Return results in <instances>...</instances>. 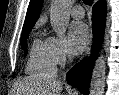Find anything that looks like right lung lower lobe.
I'll use <instances>...</instances> for the list:
<instances>
[{"label": "right lung lower lobe", "instance_id": "right-lung-lower-lobe-1", "mask_svg": "<svg viewBox=\"0 0 119 95\" xmlns=\"http://www.w3.org/2000/svg\"><path fill=\"white\" fill-rule=\"evenodd\" d=\"M105 20L106 5L105 2L101 0L94 5L92 14V27L94 33L93 50L95 54L98 53L99 47L103 40ZM92 67L93 64L86 63L84 70L81 62L77 63L73 68L69 70L66 76L68 83L79 88V90L85 95L88 94Z\"/></svg>", "mask_w": 119, "mask_h": 95}]
</instances>
